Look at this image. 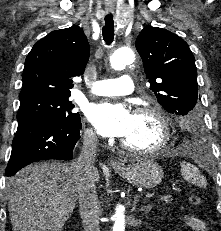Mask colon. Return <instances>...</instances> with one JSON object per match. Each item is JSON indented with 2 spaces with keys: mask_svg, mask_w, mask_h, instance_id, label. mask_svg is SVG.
Returning <instances> with one entry per match:
<instances>
[{
  "mask_svg": "<svg viewBox=\"0 0 221 231\" xmlns=\"http://www.w3.org/2000/svg\"><path fill=\"white\" fill-rule=\"evenodd\" d=\"M189 202L194 207L202 206L203 200L199 195H191L189 197Z\"/></svg>",
  "mask_w": 221,
  "mask_h": 231,
  "instance_id": "colon-1",
  "label": "colon"
}]
</instances>
